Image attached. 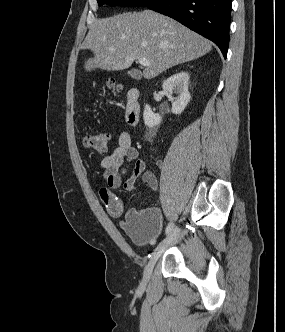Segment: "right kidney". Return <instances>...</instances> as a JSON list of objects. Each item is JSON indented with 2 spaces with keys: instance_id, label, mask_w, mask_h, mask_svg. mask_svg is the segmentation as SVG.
Listing matches in <instances>:
<instances>
[{
  "instance_id": "obj_1",
  "label": "right kidney",
  "mask_w": 285,
  "mask_h": 332,
  "mask_svg": "<svg viewBox=\"0 0 285 332\" xmlns=\"http://www.w3.org/2000/svg\"><path fill=\"white\" fill-rule=\"evenodd\" d=\"M189 75L187 72H179L163 82L162 89L166 91L171 97L173 93L178 96L172 100V113L181 114L190 101V93L188 90ZM144 123L149 128L161 123V116L155 114L149 105L145 106L143 114Z\"/></svg>"
}]
</instances>
